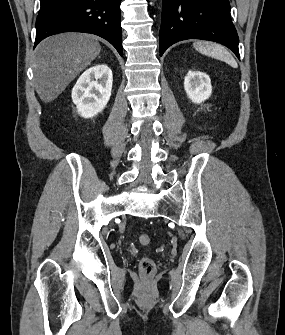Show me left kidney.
I'll return each mask as SVG.
<instances>
[{"label": "left kidney", "instance_id": "1", "mask_svg": "<svg viewBox=\"0 0 285 335\" xmlns=\"http://www.w3.org/2000/svg\"><path fill=\"white\" fill-rule=\"evenodd\" d=\"M184 90L194 102V104H201L208 100L212 94L211 80L204 72H188L184 80Z\"/></svg>", "mask_w": 285, "mask_h": 335}]
</instances>
